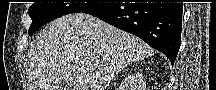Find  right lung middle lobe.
Wrapping results in <instances>:
<instances>
[{
  "label": "right lung middle lobe",
  "instance_id": "right-lung-middle-lobe-1",
  "mask_svg": "<svg viewBox=\"0 0 216 90\" xmlns=\"http://www.w3.org/2000/svg\"><path fill=\"white\" fill-rule=\"evenodd\" d=\"M102 5H105V3H33L28 10L32 19L28 33L31 36L42 25L56 18L71 13H84Z\"/></svg>",
  "mask_w": 216,
  "mask_h": 90
}]
</instances>
